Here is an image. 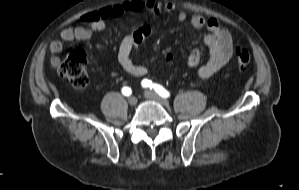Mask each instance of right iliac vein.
Listing matches in <instances>:
<instances>
[{
  "label": "right iliac vein",
  "instance_id": "obj_1",
  "mask_svg": "<svg viewBox=\"0 0 299 190\" xmlns=\"http://www.w3.org/2000/svg\"><path fill=\"white\" fill-rule=\"evenodd\" d=\"M128 103L131 105V106H134L137 104V98L135 96H130L128 98Z\"/></svg>",
  "mask_w": 299,
  "mask_h": 190
}]
</instances>
